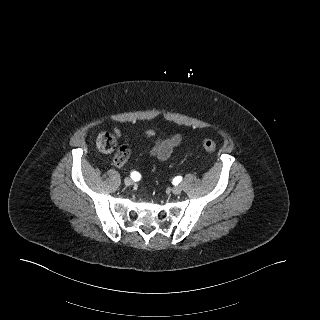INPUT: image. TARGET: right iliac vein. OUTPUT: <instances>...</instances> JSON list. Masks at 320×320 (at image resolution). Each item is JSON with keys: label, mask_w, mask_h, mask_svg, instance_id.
Returning <instances> with one entry per match:
<instances>
[{"label": "right iliac vein", "mask_w": 320, "mask_h": 320, "mask_svg": "<svg viewBox=\"0 0 320 320\" xmlns=\"http://www.w3.org/2000/svg\"><path fill=\"white\" fill-rule=\"evenodd\" d=\"M124 183L126 186H131L133 184V180L130 177H126L124 179Z\"/></svg>", "instance_id": "1"}]
</instances>
